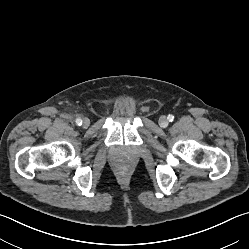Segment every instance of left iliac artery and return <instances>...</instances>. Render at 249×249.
<instances>
[{
  "mask_svg": "<svg viewBox=\"0 0 249 249\" xmlns=\"http://www.w3.org/2000/svg\"><path fill=\"white\" fill-rule=\"evenodd\" d=\"M167 119L169 120V122H172L174 120V116L169 114Z\"/></svg>",
  "mask_w": 249,
  "mask_h": 249,
  "instance_id": "left-iliac-artery-1",
  "label": "left iliac artery"
}]
</instances>
